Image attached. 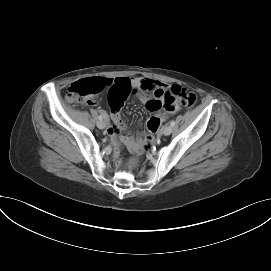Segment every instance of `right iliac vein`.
Returning <instances> with one entry per match:
<instances>
[{
  "label": "right iliac vein",
  "instance_id": "1",
  "mask_svg": "<svg viewBox=\"0 0 271 271\" xmlns=\"http://www.w3.org/2000/svg\"><path fill=\"white\" fill-rule=\"evenodd\" d=\"M97 127L99 129H104L106 127V123L104 121L100 120L97 122Z\"/></svg>",
  "mask_w": 271,
  "mask_h": 271
}]
</instances>
